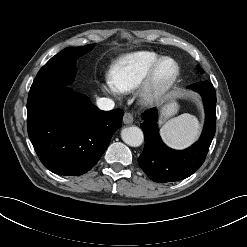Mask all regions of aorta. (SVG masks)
<instances>
[{
  "instance_id": "762f6f07",
  "label": "aorta",
  "mask_w": 247,
  "mask_h": 247,
  "mask_svg": "<svg viewBox=\"0 0 247 247\" xmlns=\"http://www.w3.org/2000/svg\"><path fill=\"white\" fill-rule=\"evenodd\" d=\"M121 138L127 145L138 147L143 143L144 135L139 127L130 126L122 129Z\"/></svg>"
}]
</instances>
